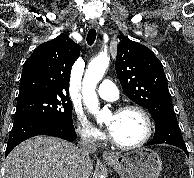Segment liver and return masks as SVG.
Listing matches in <instances>:
<instances>
[{
  "mask_svg": "<svg viewBox=\"0 0 194 178\" xmlns=\"http://www.w3.org/2000/svg\"><path fill=\"white\" fill-rule=\"evenodd\" d=\"M80 166L88 178L93 164L91 159L81 161L77 146L60 138L37 136L10 152L4 178H73Z\"/></svg>",
  "mask_w": 194,
  "mask_h": 178,
  "instance_id": "1",
  "label": "liver"
}]
</instances>
